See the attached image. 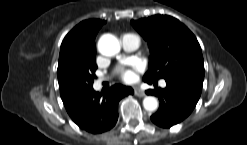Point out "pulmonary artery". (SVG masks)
I'll use <instances>...</instances> for the list:
<instances>
[{
	"mask_svg": "<svg viewBox=\"0 0 247 145\" xmlns=\"http://www.w3.org/2000/svg\"><path fill=\"white\" fill-rule=\"evenodd\" d=\"M121 45L125 52H132L135 51L140 45V39L137 35L132 33H126L121 36ZM160 85L165 87V81H161Z\"/></svg>",
	"mask_w": 247,
	"mask_h": 145,
	"instance_id": "obj_1",
	"label": "pulmonary artery"
}]
</instances>
